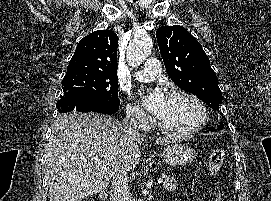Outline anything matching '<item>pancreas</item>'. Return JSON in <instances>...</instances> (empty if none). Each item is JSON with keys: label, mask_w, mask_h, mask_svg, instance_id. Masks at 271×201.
Segmentation results:
<instances>
[{"label": "pancreas", "mask_w": 271, "mask_h": 201, "mask_svg": "<svg viewBox=\"0 0 271 201\" xmlns=\"http://www.w3.org/2000/svg\"><path fill=\"white\" fill-rule=\"evenodd\" d=\"M163 188L167 191H175L178 188V182L174 178L165 177Z\"/></svg>", "instance_id": "1"}]
</instances>
